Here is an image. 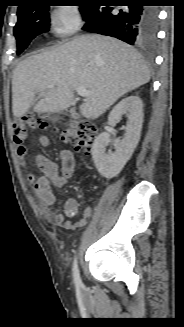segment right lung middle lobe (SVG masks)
Wrapping results in <instances>:
<instances>
[{
	"mask_svg": "<svg viewBox=\"0 0 184 327\" xmlns=\"http://www.w3.org/2000/svg\"><path fill=\"white\" fill-rule=\"evenodd\" d=\"M41 1L28 8L17 12L18 22L14 28L17 40V54L19 55L37 35L49 30V6ZM93 5L80 6V11L85 18L92 10Z\"/></svg>",
	"mask_w": 184,
	"mask_h": 327,
	"instance_id": "right-lung-middle-lobe-1",
	"label": "right lung middle lobe"
}]
</instances>
